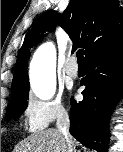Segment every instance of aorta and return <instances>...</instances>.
<instances>
[{
	"instance_id": "obj_1",
	"label": "aorta",
	"mask_w": 123,
	"mask_h": 152,
	"mask_svg": "<svg viewBox=\"0 0 123 152\" xmlns=\"http://www.w3.org/2000/svg\"><path fill=\"white\" fill-rule=\"evenodd\" d=\"M31 88L41 100L51 99L56 90V50L51 42L38 47L30 63Z\"/></svg>"
}]
</instances>
